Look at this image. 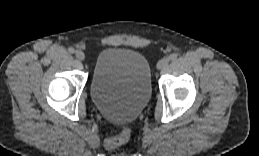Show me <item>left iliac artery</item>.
Listing matches in <instances>:
<instances>
[{
  "mask_svg": "<svg viewBox=\"0 0 259 156\" xmlns=\"http://www.w3.org/2000/svg\"><path fill=\"white\" fill-rule=\"evenodd\" d=\"M169 60H176L177 59V54L173 53L168 57Z\"/></svg>",
  "mask_w": 259,
  "mask_h": 156,
  "instance_id": "obj_1",
  "label": "left iliac artery"
}]
</instances>
